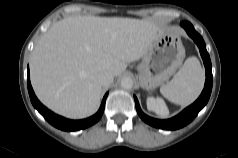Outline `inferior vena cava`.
I'll return each mask as SVG.
<instances>
[{"label": "inferior vena cava", "instance_id": "602c4592", "mask_svg": "<svg viewBox=\"0 0 238 158\" xmlns=\"http://www.w3.org/2000/svg\"><path fill=\"white\" fill-rule=\"evenodd\" d=\"M97 80L101 86L108 87L113 82V75L106 70H102L97 74Z\"/></svg>", "mask_w": 238, "mask_h": 158}]
</instances>
